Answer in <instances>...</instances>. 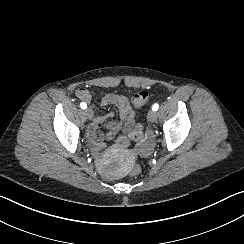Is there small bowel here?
Instances as JSON below:
<instances>
[{
  "label": "small bowel",
  "mask_w": 244,
  "mask_h": 244,
  "mask_svg": "<svg viewBox=\"0 0 244 244\" xmlns=\"http://www.w3.org/2000/svg\"><path fill=\"white\" fill-rule=\"evenodd\" d=\"M76 96L79 100L90 104L92 111L95 112V104L92 101V93L88 89L79 88L76 91ZM101 104H115L118 106L120 121H108L106 124L107 132L102 134L99 133L98 130L106 119L113 117V112H109L105 115H95L90 128L91 135L98 141L110 140L116 134L127 135L135 123V113L128 98L115 93H106L101 97ZM153 139L154 133L151 130H146L143 133V137L139 141V151L143 156H148L151 153Z\"/></svg>",
  "instance_id": "small-bowel-1"
}]
</instances>
